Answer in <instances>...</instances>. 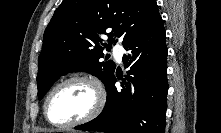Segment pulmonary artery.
I'll return each instance as SVG.
<instances>
[{
	"label": "pulmonary artery",
	"instance_id": "pulmonary-artery-1",
	"mask_svg": "<svg viewBox=\"0 0 221 133\" xmlns=\"http://www.w3.org/2000/svg\"><path fill=\"white\" fill-rule=\"evenodd\" d=\"M113 54L119 63L122 62V58L124 55V48L121 45L118 44L115 45L113 48Z\"/></svg>",
	"mask_w": 221,
	"mask_h": 133
}]
</instances>
